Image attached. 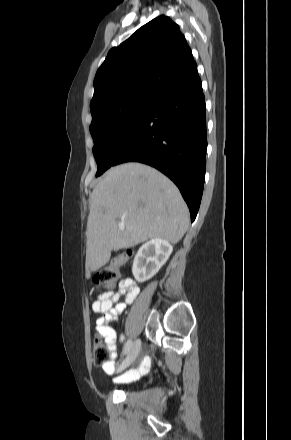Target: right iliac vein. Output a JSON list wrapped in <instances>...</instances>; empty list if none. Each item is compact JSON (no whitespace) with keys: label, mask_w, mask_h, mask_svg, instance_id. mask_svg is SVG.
I'll return each instance as SVG.
<instances>
[{"label":"right iliac vein","mask_w":291,"mask_h":440,"mask_svg":"<svg viewBox=\"0 0 291 440\" xmlns=\"http://www.w3.org/2000/svg\"><path fill=\"white\" fill-rule=\"evenodd\" d=\"M141 348V341L139 339H137L134 344L132 345L130 352L128 353L126 359L122 362V364L120 365L118 371H121L123 369H125L126 367H128L131 363H133V361L136 359L139 351Z\"/></svg>","instance_id":"1"}]
</instances>
